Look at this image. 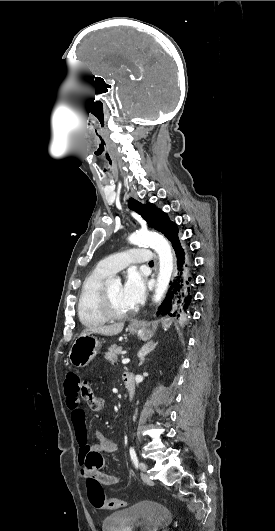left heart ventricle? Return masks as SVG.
Instances as JSON below:
<instances>
[{
	"label": "left heart ventricle",
	"mask_w": 275,
	"mask_h": 531,
	"mask_svg": "<svg viewBox=\"0 0 275 531\" xmlns=\"http://www.w3.org/2000/svg\"><path fill=\"white\" fill-rule=\"evenodd\" d=\"M107 289L110 292L111 302L114 310L118 313H126L132 308L126 303L122 294V285L120 282L107 283Z\"/></svg>",
	"instance_id": "b2bd125f"
}]
</instances>
